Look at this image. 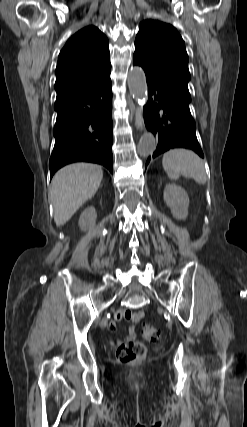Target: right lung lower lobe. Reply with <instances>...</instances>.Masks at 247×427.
<instances>
[{"label": "right lung lower lobe", "mask_w": 247, "mask_h": 427, "mask_svg": "<svg viewBox=\"0 0 247 427\" xmlns=\"http://www.w3.org/2000/svg\"><path fill=\"white\" fill-rule=\"evenodd\" d=\"M54 109L57 119L50 178L64 165L79 161L98 163L112 172L111 80L57 99Z\"/></svg>", "instance_id": "98d812e1"}]
</instances>
